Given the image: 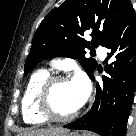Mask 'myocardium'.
<instances>
[{"mask_svg":"<svg viewBox=\"0 0 136 136\" xmlns=\"http://www.w3.org/2000/svg\"><path fill=\"white\" fill-rule=\"evenodd\" d=\"M69 78L64 75H50L48 76L39 88L36 97V108L39 114L46 120L54 122H68L75 119L80 113V107L73 113L60 116L54 113L50 105V95L52 88L59 82H68Z\"/></svg>","mask_w":136,"mask_h":136,"instance_id":"obj_1","label":"myocardium"}]
</instances>
